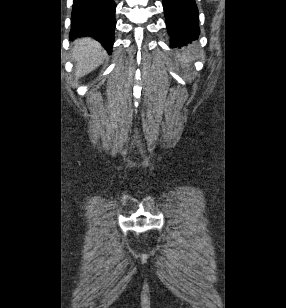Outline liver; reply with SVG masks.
<instances>
[{
	"label": "liver",
	"instance_id": "liver-1",
	"mask_svg": "<svg viewBox=\"0 0 286 308\" xmlns=\"http://www.w3.org/2000/svg\"><path fill=\"white\" fill-rule=\"evenodd\" d=\"M106 58V52L99 42L92 38H80L74 43L72 60L76 63V77H83L95 70Z\"/></svg>",
	"mask_w": 286,
	"mask_h": 308
}]
</instances>
